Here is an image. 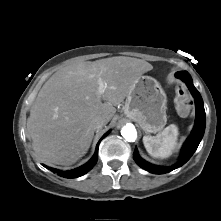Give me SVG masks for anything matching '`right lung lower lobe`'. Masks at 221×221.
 <instances>
[{"mask_svg":"<svg viewBox=\"0 0 221 221\" xmlns=\"http://www.w3.org/2000/svg\"><path fill=\"white\" fill-rule=\"evenodd\" d=\"M108 133H109V132H107V133L101 138V140H102L106 135H108ZM101 140H100V141H101ZM100 141H99V142H100ZM98 145H99V143L97 144V148H96V151H95L94 156L92 157V159H91L88 163H86V164H84V165H82V166H80V167H78V168H75V169H72V170H68V171H59V170H57V171L60 173V176H62V177H64V178H77V177H80V176L86 174L89 170H91L92 167L96 164V162H97V160H98ZM43 166L46 167V168H49V167H47L46 165H43ZM54 171H56V170H54Z\"/></svg>","mask_w":221,"mask_h":221,"instance_id":"1","label":"right lung lower lobe"}]
</instances>
